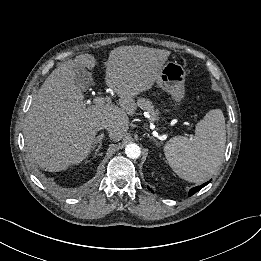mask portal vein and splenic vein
Returning <instances> with one entry per match:
<instances>
[{"label": "portal vein and splenic vein", "instance_id": "1", "mask_svg": "<svg viewBox=\"0 0 261 261\" xmlns=\"http://www.w3.org/2000/svg\"><path fill=\"white\" fill-rule=\"evenodd\" d=\"M94 103L97 104V105H103L105 103V99L102 98V97H96L94 99Z\"/></svg>", "mask_w": 261, "mask_h": 261}]
</instances>
